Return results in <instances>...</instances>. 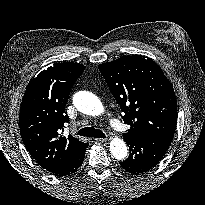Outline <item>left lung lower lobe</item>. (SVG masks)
Here are the masks:
<instances>
[{
  "mask_svg": "<svg viewBox=\"0 0 205 205\" xmlns=\"http://www.w3.org/2000/svg\"><path fill=\"white\" fill-rule=\"evenodd\" d=\"M172 138V134L124 137L129 147L130 155L119 164L128 173L133 175L144 174L161 161Z\"/></svg>",
  "mask_w": 205,
  "mask_h": 205,
  "instance_id": "left-lung-lower-lobe-1",
  "label": "left lung lower lobe"
}]
</instances>
